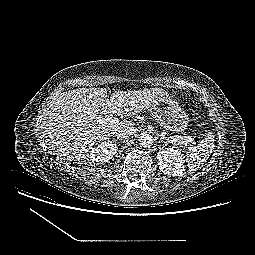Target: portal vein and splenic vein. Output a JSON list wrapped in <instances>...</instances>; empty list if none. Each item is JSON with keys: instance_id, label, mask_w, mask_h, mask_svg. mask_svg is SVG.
Returning a JSON list of instances; mask_svg holds the SVG:
<instances>
[{"instance_id": "obj_1", "label": "portal vein and splenic vein", "mask_w": 255, "mask_h": 255, "mask_svg": "<svg viewBox=\"0 0 255 255\" xmlns=\"http://www.w3.org/2000/svg\"><path fill=\"white\" fill-rule=\"evenodd\" d=\"M97 122L99 124H103V123H111V124H116V123H119L120 120L116 117H107V118H101V117H98L97 118ZM164 137V136H163ZM172 143H176L174 141H171Z\"/></svg>"}]
</instances>
